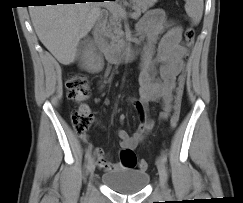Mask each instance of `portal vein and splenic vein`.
I'll list each match as a JSON object with an SVG mask.
<instances>
[{
	"label": "portal vein and splenic vein",
	"instance_id": "18ae733b",
	"mask_svg": "<svg viewBox=\"0 0 243 203\" xmlns=\"http://www.w3.org/2000/svg\"><path fill=\"white\" fill-rule=\"evenodd\" d=\"M106 8L112 12H117L120 14V16L122 17H126L127 13L125 11V9L118 5V4H105ZM130 16L132 18H137V14L136 13H131Z\"/></svg>",
	"mask_w": 243,
	"mask_h": 203
}]
</instances>
